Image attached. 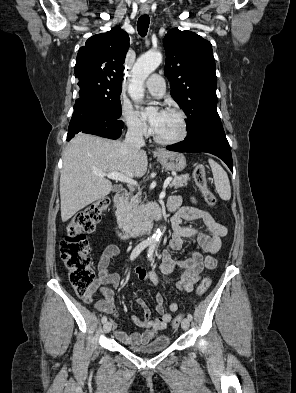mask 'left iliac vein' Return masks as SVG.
Masks as SVG:
<instances>
[{
  "label": "left iliac vein",
  "instance_id": "left-iliac-vein-1",
  "mask_svg": "<svg viewBox=\"0 0 296 393\" xmlns=\"http://www.w3.org/2000/svg\"><path fill=\"white\" fill-rule=\"evenodd\" d=\"M189 325H190L189 319L188 318H184L182 323H181L182 329L183 330H187L189 328Z\"/></svg>",
  "mask_w": 296,
  "mask_h": 393
}]
</instances>
